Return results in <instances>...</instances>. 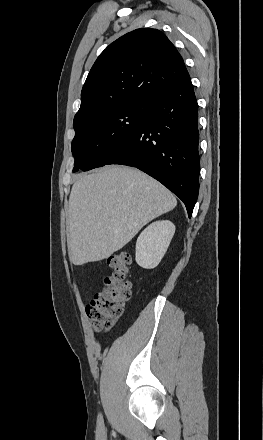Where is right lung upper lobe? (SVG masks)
Returning a JSON list of instances; mask_svg holds the SVG:
<instances>
[{"instance_id": "obj_1", "label": "right lung upper lobe", "mask_w": 263, "mask_h": 440, "mask_svg": "<svg viewBox=\"0 0 263 440\" xmlns=\"http://www.w3.org/2000/svg\"><path fill=\"white\" fill-rule=\"evenodd\" d=\"M189 77L184 61L157 29H137L110 44L92 66L73 127L104 110L147 102Z\"/></svg>"}]
</instances>
